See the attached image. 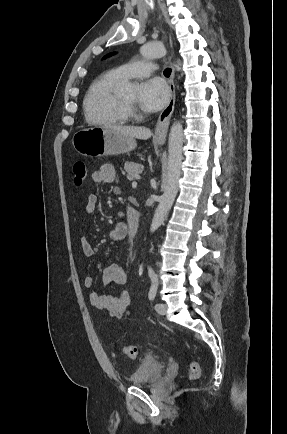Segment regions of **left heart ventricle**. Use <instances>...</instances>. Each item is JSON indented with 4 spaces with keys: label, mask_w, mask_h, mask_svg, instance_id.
Masks as SVG:
<instances>
[{
    "label": "left heart ventricle",
    "mask_w": 287,
    "mask_h": 434,
    "mask_svg": "<svg viewBox=\"0 0 287 434\" xmlns=\"http://www.w3.org/2000/svg\"><path fill=\"white\" fill-rule=\"evenodd\" d=\"M123 98H124L125 100H127L128 102H132V103H134L135 100H136V96H135L134 94H126V95H123Z\"/></svg>",
    "instance_id": "b2bd125f"
}]
</instances>
